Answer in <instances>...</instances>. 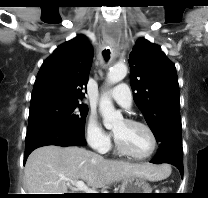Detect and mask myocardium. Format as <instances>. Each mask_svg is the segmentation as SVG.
I'll list each match as a JSON object with an SVG mask.
<instances>
[{"label":"myocardium","mask_w":208,"mask_h":198,"mask_svg":"<svg viewBox=\"0 0 208 198\" xmlns=\"http://www.w3.org/2000/svg\"><path fill=\"white\" fill-rule=\"evenodd\" d=\"M125 122H127L128 124L140 126V127L144 128L149 133V135L151 137V141H152L151 150L145 155H136V154L132 153L122 142H120L115 137L114 142H115V146H116L117 150L120 153H122L123 155H126V156H128L132 159H135V160H146V159L150 158L156 152L157 146H158V140H157V136H156L154 130L147 123L137 120V119L126 118Z\"/></svg>","instance_id":"myocardium-1"}]
</instances>
